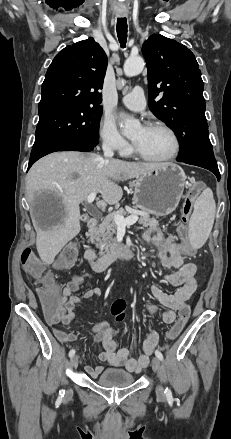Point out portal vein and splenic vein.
I'll return each instance as SVG.
<instances>
[{"label": "portal vein and splenic vein", "instance_id": "18ae733b", "mask_svg": "<svg viewBox=\"0 0 231 439\" xmlns=\"http://www.w3.org/2000/svg\"><path fill=\"white\" fill-rule=\"evenodd\" d=\"M96 195H97L96 192L90 193L89 196L87 197V202L89 204H92L96 198ZM97 207L100 208L99 205H97ZM137 220H138V215H131V216H128L127 218H124L123 216H120V215L114 216V221L118 227H125L128 225H133L137 222Z\"/></svg>", "mask_w": 231, "mask_h": 439}]
</instances>
